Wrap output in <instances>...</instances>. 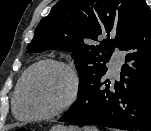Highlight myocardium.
I'll return each mask as SVG.
<instances>
[{
  "mask_svg": "<svg viewBox=\"0 0 151 131\" xmlns=\"http://www.w3.org/2000/svg\"><path fill=\"white\" fill-rule=\"evenodd\" d=\"M49 66L61 69L68 78L69 88L65 99L55 109H53L50 112L35 115L23 114L20 110V99L28 78L36 70ZM79 91H80V78L75 69L71 65L57 59H46L39 61L32 65L30 68H28L19 81L18 88L13 101L15 115L19 118H25L29 120H45L56 117L72 106V104L76 101L78 97Z\"/></svg>",
  "mask_w": 151,
  "mask_h": 131,
  "instance_id": "obj_1",
  "label": "myocardium"
}]
</instances>
